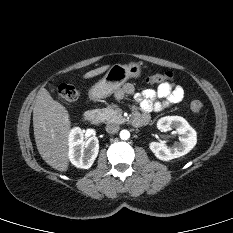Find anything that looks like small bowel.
I'll list each match as a JSON object with an SVG mask.
<instances>
[{"label": "small bowel", "instance_id": "small-bowel-1", "mask_svg": "<svg viewBox=\"0 0 233 233\" xmlns=\"http://www.w3.org/2000/svg\"><path fill=\"white\" fill-rule=\"evenodd\" d=\"M135 93L132 84H125L115 95L117 98H123L126 95ZM184 98V90L181 86H172L170 84H160L156 89H145L135 94L138 108L135 109L133 123L139 125L149 121L151 113H160L171 106L180 103ZM141 124V125H142Z\"/></svg>", "mask_w": 233, "mask_h": 233}]
</instances>
